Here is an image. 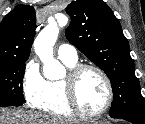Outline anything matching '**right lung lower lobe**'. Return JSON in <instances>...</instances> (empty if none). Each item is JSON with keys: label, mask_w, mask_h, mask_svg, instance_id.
<instances>
[{"label": "right lung lower lobe", "mask_w": 145, "mask_h": 124, "mask_svg": "<svg viewBox=\"0 0 145 124\" xmlns=\"http://www.w3.org/2000/svg\"><path fill=\"white\" fill-rule=\"evenodd\" d=\"M20 105H23V103H14V102H11V103H0V107L20 106Z\"/></svg>", "instance_id": "right-lung-lower-lobe-1"}]
</instances>
